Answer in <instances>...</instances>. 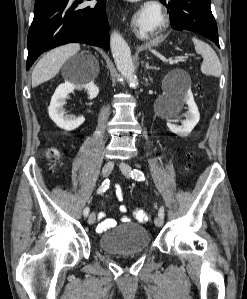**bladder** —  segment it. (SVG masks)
<instances>
[{
  "label": "bladder",
  "mask_w": 247,
  "mask_h": 299,
  "mask_svg": "<svg viewBox=\"0 0 247 299\" xmlns=\"http://www.w3.org/2000/svg\"><path fill=\"white\" fill-rule=\"evenodd\" d=\"M151 245L148 229L140 224L128 222L101 234L100 248L114 255H130L146 251Z\"/></svg>",
  "instance_id": "1"
}]
</instances>
